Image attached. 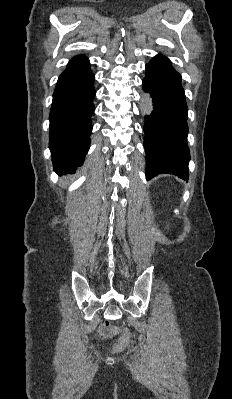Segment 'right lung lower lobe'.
<instances>
[{"label":"right lung lower lobe","mask_w":232,"mask_h":399,"mask_svg":"<svg viewBox=\"0 0 232 399\" xmlns=\"http://www.w3.org/2000/svg\"><path fill=\"white\" fill-rule=\"evenodd\" d=\"M94 79L84 55L73 57L58 79L49 117V147L56 172H74L89 150Z\"/></svg>","instance_id":"right-lung-lower-lobe-1"}]
</instances>
